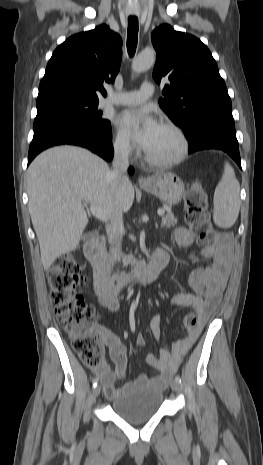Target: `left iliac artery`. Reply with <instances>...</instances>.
Masks as SVG:
<instances>
[{"mask_svg": "<svg viewBox=\"0 0 263 465\" xmlns=\"http://www.w3.org/2000/svg\"><path fill=\"white\" fill-rule=\"evenodd\" d=\"M175 380H176L178 383H181V378H180L179 375H176V376H175Z\"/></svg>", "mask_w": 263, "mask_h": 465, "instance_id": "obj_1", "label": "left iliac artery"}]
</instances>
